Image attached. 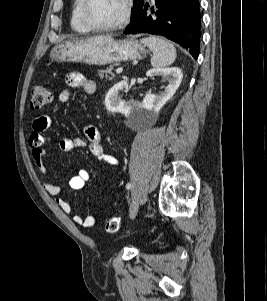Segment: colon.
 Masks as SVG:
<instances>
[{
	"mask_svg": "<svg viewBox=\"0 0 267 301\" xmlns=\"http://www.w3.org/2000/svg\"><path fill=\"white\" fill-rule=\"evenodd\" d=\"M53 100L52 92L43 85H37L32 90L31 107L33 109H40L49 105ZM120 227V220L117 217H111L107 220L105 228L108 232L114 233Z\"/></svg>",
	"mask_w": 267,
	"mask_h": 301,
	"instance_id": "colon-1",
	"label": "colon"
}]
</instances>
